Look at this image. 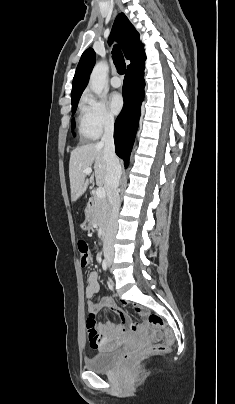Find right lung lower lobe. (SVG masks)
Segmentation results:
<instances>
[{
	"label": "right lung lower lobe",
	"instance_id": "1",
	"mask_svg": "<svg viewBox=\"0 0 235 404\" xmlns=\"http://www.w3.org/2000/svg\"><path fill=\"white\" fill-rule=\"evenodd\" d=\"M144 68V63H141L127 70L123 84L124 107L114 126L115 151L124 160L125 167L128 166L144 97Z\"/></svg>",
	"mask_w": 235,
	"mask_h": 404
}]
</instances>
